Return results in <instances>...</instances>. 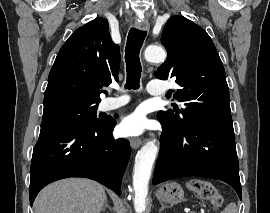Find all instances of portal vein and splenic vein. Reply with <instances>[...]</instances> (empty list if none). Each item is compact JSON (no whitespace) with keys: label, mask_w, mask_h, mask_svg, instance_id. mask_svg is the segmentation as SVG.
I'll return each mask as SVG.
<instances>
[{"label":"portal vein and splenic vein","mask_w":270,"mask_h":213,"mask_svg":"<svg viewBox=\"0 0 270 213\" xmlns=\"http://www.w3.org/2000/svg\"><path fill=\"white\" fill-rule=\"evenodd\" d=\"M188 212H190V213H195L194 211H190V210H188Z\"/></svg>","instance_id":"portal-vein-and-splenic-vein-1"}]
</instances>
